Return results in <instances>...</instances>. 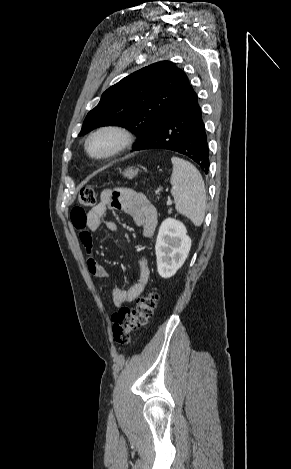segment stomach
I'll use <instances>...</instances> for the list:
<instances>
[{"label":"stomach","instance_id":"0dacf381","mask_svg":"<svg viewBox=\"0 0 291 469\" xmlns=\"http://www.w3.org/2000/svg\"><path fill=\"white\" fill-rule=\"evenodd\" d=\"M137 173H138L137 169L128 168L123 172V175L127 178H133L134 176L137 175Z\"/></svg>","mask_w":291,"mask_h":469}]
</instances>
